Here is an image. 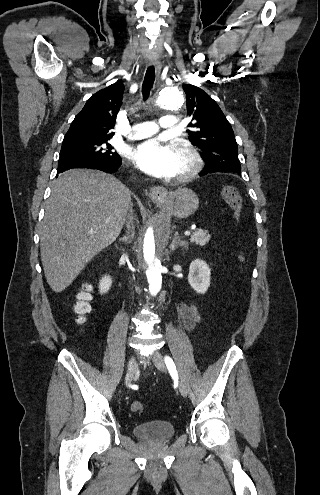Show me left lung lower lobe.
<instances>
[{"label": "left lung lower lobe", "instance_id": "obj_1", "mask_svg": "<svg viewBox=\"0 0 320 495\" xmlns=\"http://www.w3.org/2000/svg\"><path fill=\"white\" fill-rule=\"evenodd\" d=\"M214 172H231V171H225V170H219V169H216V170H207V169L205 168L204 170H202V171L200 172V174H199V175H200V176H204V175H206V174H208V173H214ZM238 174H241V173H238Z\"/></svg>", "mask_w": 320, "mask_h": 495}]
</instances>
